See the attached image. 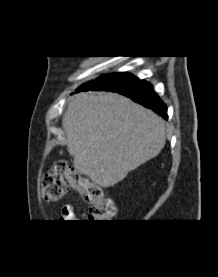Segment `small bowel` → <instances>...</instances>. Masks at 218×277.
Returning <instances> with one entry per match:
<instances>
[{"label": "small bowel", "mask_w": 218, "mask_h": 277, "mask_svg": "<svg viewBox=\"0 0 218 277\" xmlns=\"http://www.w3.org/2000/svg\"><path fill=\"white\" fill-rule=\"evenodd\" d=\"M60 220L62 222H74L76 220L74 208L70 204H65L60 209Z\"/></svg>", "instance_id": "1"}]
</instances>
